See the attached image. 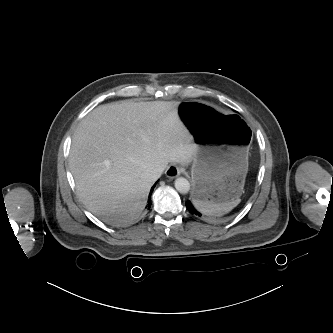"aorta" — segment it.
Instances as JSON below:
<instances>
[{
	"instance_id": "obj_1",
	"label": "aorta",
	"mask_w": 333,
	"mask_h": 333,
	"mask_svg": "<svg viewBox=\"0 0 333 333\" xmlns=\"http://www.w3.org/2000/svg\"><path fill=\"white\" fill-rule=\"evenodd\" d=\"M175 188L181 194H187L190 190V183L186 178L178 177L175 180Z\"/></svg>"
}]
</instances>
